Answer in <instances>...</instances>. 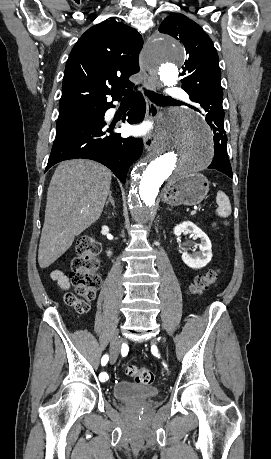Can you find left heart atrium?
<instances>
[{
    "mask_svg": "<svg viewBox=\"0 0 271 459\" xmlns=\"http://www.w3.org/2000/svg\"><path fill=\"white\" fill-rule=\"evenodd\" d=\"M152 130L150 122H144L133 128V133L137 136L146 137L149 136Z\"/></svg>",
    "mask_w": 271,
    "mask_h": 459,
    "instance_id": "left-heart-atrium-1",
    "label": "left heart atrium"
}]
</instances>
